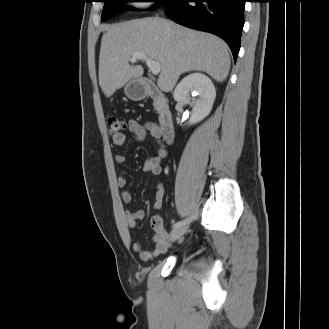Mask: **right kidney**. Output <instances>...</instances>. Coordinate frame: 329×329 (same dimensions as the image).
<instances>
[{"label": "right kidney", "mask_w": 329, "mask_h": 329, "mask_svg": "<svg viewBox=\"0 0 329 329\" xmlns=\"http://www.w3.org/2000/svg\"><path fill=\"white\" fill-rule=\"evenodd\" d=\"M190 95H198V99L190 101ZM175 101L193 105L189 124L203 120L211 111L216 91L212 81L202 73H192L184 77L173 93Z\"/></svg>", "instance_id": "1"}]
</instances>
